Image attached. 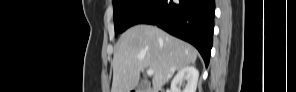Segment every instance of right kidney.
Segmentation results:
<instances>
[{
  "label": "right kidney",
  "mask_w": 296,
  "mask_h": 92,
  "mask_svg": "<svg viewBox=\"0 0 296 92\" xmlns=\"http://www.w3.org/2000/svg\"><path fill=\"white\" fill-rule=\"evenodd\" d=\"M199 71L194 66H186L178 71L171 82V92H196ZM186 81L185 88L180 89V84Z\"/></svg>",
  "instance_id": "obj_1"
}]
</instances>
